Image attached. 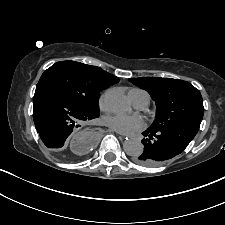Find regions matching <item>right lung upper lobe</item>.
<instances>
[{"label": "right lung upper lobe", "instance_id": "1", "mask_svg": "<svg viewBox=\"0 0 225 225\" xmlns=\"http://www.w3.org/2000/svg\"><path fill=\"white\" fill-rule=\"evenodd\" d=\"M87 66L92 72V74L94 75V77L98 79L99 81H101L102 83L106 84L108 87L119 81V78H117L116 76L112 74H109L108 72L102 70L99 67L90 66V65H87Z\"/></svg>", "mask_w": 225, "mask_h": 225}]
</instances>
